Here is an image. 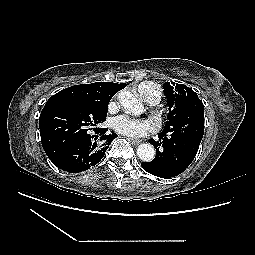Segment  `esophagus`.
I'll use <instances>...</instances> for the list:
<instances>
[{
    "label": "esophagus",
    "mask_w": 255,
    "mask_h": 255,
    "mask_svg": "<svg viewBox=\"0 0 255 255\" xmlns=\"http://www.w3.org/2000/svg\"><path fill=\"white\" fill-rule=\"evenodd\" d=\"M134 145H138L139 143H141L140 139H135V138H128Z\"/></svg>",
    "instance_id": "obj_1"
}]
</instances>
